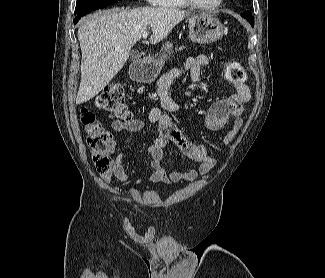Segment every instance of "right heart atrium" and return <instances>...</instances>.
Listing matches in <instances>:
<instances>
[{"label":"right heart atrium","mask_w":325,"mask_h":278,"mask_svg":"<svg viewBox=\"0 0 325 278\" xmlns=\"http://www.w3.org/2000/svg\"><path fill=\"white\" fill-rule=\"evenodd\" d=\"M145 1H148V2H150V3H153L154 0H145Z\"/></svg>","instance_id":"obj_1"}]
</instances>
